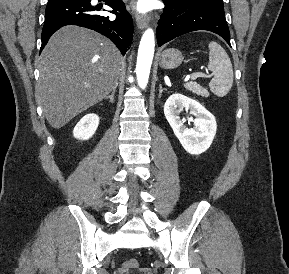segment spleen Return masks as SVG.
Returning <instances> with one entry per match:
<instances>
[{
    "instance_id": "spleen-1",
    "label": "spleen",
    "mask_w": 289,
    "mask_h": 274,
    "mask_svg": "<svg viewBox=\"0 0 289 274\" xmlns=\"http://www.w3.org/2000/svg\"><path fill=\"white\" fill-rule=\"evenodd\" d=\"M208 69L214 75L209 83L211 92L218 97L226 96L233 84V67L226 51L215 41L209 43Z\"/></svg>"
}]
</instances>
